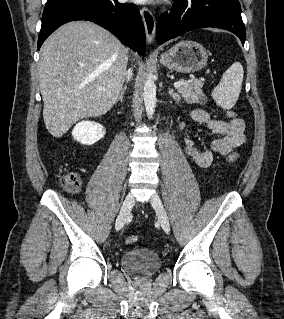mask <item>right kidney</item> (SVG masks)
<instances>
[{
  "label": "right kidney",
  "instance_id": "obj_1",
  "mask_svg": "<svg viewBox=\"0 0 284 319\" xmlns=\"http://www.w3.org/2000/svg\"><path fill=\"white\" fill-rule=\"evenodd\" d=\"M104 127L93 121H81L72 130V136L83 145H92L103 138Z\"/></svg>",
  "mask_w": 284,
  "mask_h": 319
}]
</instances>
